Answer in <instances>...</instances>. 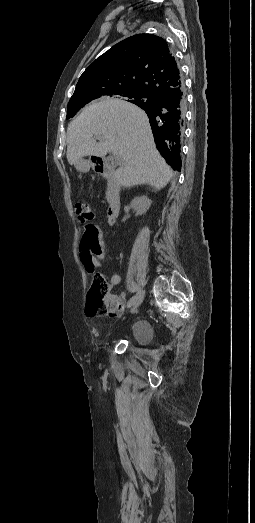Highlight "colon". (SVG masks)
I'll return each instance as SVG.
<instances>
[{
    "label": "colon",
    "mask_w": 255,
    "mask_h": 523,
    "mask_svg": "<svg viewBox=\"0 0 255 523\" xmlns=\"http://www.w3.org/2000/svg\"><path fill=\"white\" fill-rule=\"evenodd\" d=\"M75 212L83 224L93 218V213L86 203H77ZM121 308L120 301L110 292V285L101 273H96L88 295L87 313L90 316L107 315Z\"/></svg>",
    "instance_id": "5ec220e1"
}]
</instances>
